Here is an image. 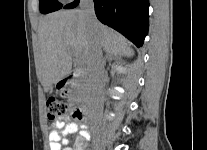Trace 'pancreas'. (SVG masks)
<instances>
[{
  "instance_id": "1",
  "label": "pancreas",
  "mask_w": 207,
  "mask_h": 150,
  "mask_svg": "<svg viewBox=\"0 0 207 150\" xmlns=\"http://www.w3.org/2000/svg\"><path fill=\"white\" fill-rule=\"evenodd\" d=\"M85 81H86V77L84 78L83 81L76 83L75 87L84 88L85 87Z\"/></svg>"
}]
</instances>
